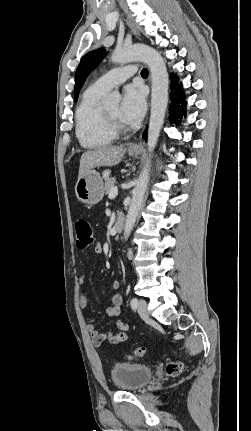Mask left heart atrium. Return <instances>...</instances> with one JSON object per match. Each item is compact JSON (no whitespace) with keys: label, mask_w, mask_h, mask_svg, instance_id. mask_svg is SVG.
Masks as SVG:
<instances>
[{"label":"left heart atrium","mask_w":251,"mask_h":431,"mask_svg":"<svg viewBox=\"0 0 251 431\" xmlns=\"http://www.w3.org/2000/svg\"><path fill=\"white\" fill-rule=\"evenodd\" d=\"M145 107L144 89L136 84L125 87L120 106L123 121L129 124L138 122L145 111Z\"/></svg>","instance_id":"1"}]
</instances>
